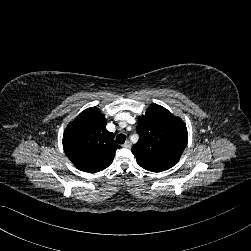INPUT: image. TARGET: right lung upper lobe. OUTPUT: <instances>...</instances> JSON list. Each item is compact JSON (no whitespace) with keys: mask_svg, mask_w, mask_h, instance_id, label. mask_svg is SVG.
<instances>
[{"mask_svg":"<svg viewBox=\"0 0 251 251\" xmlns=\"http://www.w3.org/2000/svg\"><path fill=\"white\" fill-rule=\"evenodd\" d=\"M105 116L96 107L81 112L63 135L65 154L80 171L96 173L113 162L119 145L106 129Z\"/></svg>","mask_w":251,"mask_h":251,"instance_id":"obj_1","label":"right lung upper lobe"}]
</instances>
